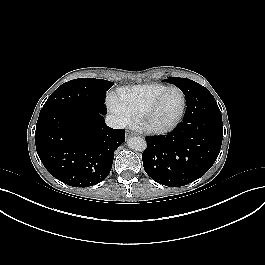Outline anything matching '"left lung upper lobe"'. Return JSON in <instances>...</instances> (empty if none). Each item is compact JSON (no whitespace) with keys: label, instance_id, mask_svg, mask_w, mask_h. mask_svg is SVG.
Returning <instances> with one entry per match:
<instances>
[{"label":"left lung upper lobe","instance_id":"5c2ea615","mask_svg":"<svg viewBox=\"0 0 265 265\" xmlns=\"http://www.w3.org/2000/svg\"><path fill=\"white\" fill-rule=\"evenodd\" d=\"M164 81L176 85L178 88L181 89V91L183 93L190 90V88H192V87H202L206 93L207 103L214 105V106L215 105L217 106V103H216L214 97L211 95V93L204 86H202V85H200V84H198V83H196L190 79L178 78V77H169L168 79H166Z\"/></svg>","mask_w":265,"mask_h":265}]
</instances>
